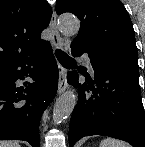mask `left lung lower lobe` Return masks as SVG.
Here are the masks:
<instances>
[{
	"mask_svg": "<svg viewBox=\"0 0 145 147\" xmlns=\"http://www.w3.org/2000/svg\"><path fill=\"white\" fill-rule=\"evenodd\" d=\"M71 49L73 56L89 54L95 77L92 80L86 76V82L81 85L77 71L68 73V82L79 88L78 103L70 121V147L90 135L109 136L133 147H145L138 56L119 52L96 53L79 44H71Z\"/></svg>",
	"mask_w": 145,
	"mask_h": 147,
	"instance_id": "obj_1",
	"label": "left lung lower lobe"
}]
</instances>
